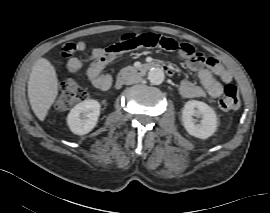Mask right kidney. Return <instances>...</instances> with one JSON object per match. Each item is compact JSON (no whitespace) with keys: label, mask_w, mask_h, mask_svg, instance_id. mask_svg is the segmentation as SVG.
<instances>
[{"label":"right kidney","mask_w":270,"mask_h":213,"mask_svg":"<svg viewBox=\"0 0 270 213\" xmlns=\"http://www.w3.org/2000/svg\"><path fill=\"white\" fill-rule=\"evenodd\" d=\"M100 107V103L93 99L75 105L67 116L70 130L76 135L89 133L97 124Z\"/></svg>","instance_id":"right-kidney-1"}]
</instances>
